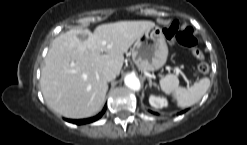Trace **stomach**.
Here are the masks:
<instances>
[{
	"label": "stomach",
	"mask_w": 247,
	"mask_h": 145,
	"mask_svg": "<svg viewBox=\"0 0 247 145\" xmlns=\"http://www.w3.org/2000/svg\"><path fill=\"white\" fill-rule=\"evenodd\" d=\"M132 59L141 71H155L163 67L168 47L162 29L158 26L145 31L131 49Z\"/></svg>",
	"instance_id": "obj_1"
}]
</instances>
